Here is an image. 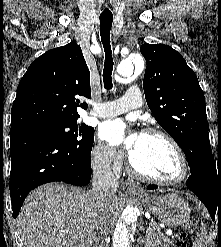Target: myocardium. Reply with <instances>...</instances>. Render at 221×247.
<instances>
[{"label":"myocardium","instance_id":"obj_1","mask_svg":"<svg viewBox=\"0 0 221 247\" xmlns=\"http://www.w3.org/2000/svg\"><path fill=\"white\" fill-rule=\"evenodd\" d=\"M142 134L151 135V136H158V137H161L164 140H166L175 149V151L177 152V154L180 158L181 165H182V174L179 178L173 179V180H165V179H161V178L152 176L150 174H147V173H144L143 171H141L135 165L131 156L128 155V166H129L131 173L134 176H136V177H138L144 181L153 182V183H157L160 185L175 186V185L185 183L190 177V165H189V161L187 159V156H186L184 150L182 149V147L180 146V144L169 133H167L166 131H163L161 129L147 128V129H144L142 131Z\"/></svg>","mask_w":221,"mask_h":247}]
</instances>
